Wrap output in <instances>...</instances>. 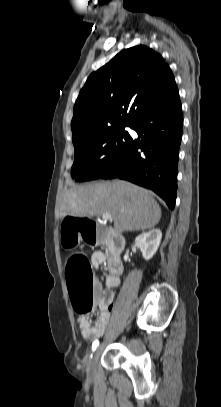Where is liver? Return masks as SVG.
Segmentation results:
<instances>
[{
	"label": "liver",
	"mask_w": 221,
	"mask_h": 407,
	"mask_svg": "<svg viewBox=\"0 0 221 407\" xmlns=\"http://www.w3.org/2000/svg\"><path fill=\"white\" fill-rule=\"evenodd\" d=\"M104 213L111 215L119 233L151 229L161 219V208L149 191L121 180L73 187L64 194L60 206L61 218Z\"/></svg>",
	"instance_id": "obj_1"
}]
</instances>
